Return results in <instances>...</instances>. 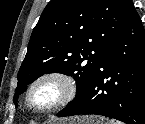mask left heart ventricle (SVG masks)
<instances>
[{
	"instance_id": "1",
	"label": "left heart ventricle",
	"mask_w": 145,
	"mask_h": 124,
	"mask_svg": "<svg viewBox=\"0 0 145 124\" xmlns=\"http://www.w3.org/2000/svg\"><path fill=\"white\" fill-rule=\"evenodd\" d=\"M56 96V89L53 86H44L40 88L34 95V100L37 103H47L53 100Z\"/></svg>"
}]
</instances>
